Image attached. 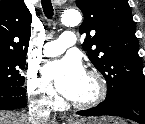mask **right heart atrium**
<instances>
[{
	"label": "right heart atrium",
	"mask_w": 145,
	"mask_h": 124,
	"mask_svg": "<svg viewBox=\"0 0 145 124\" xmlns=\"http://www.w3.org/2000/svg\"><path fill=\"white\" fill-rule=\"evenodd\" d=\"M27 93L36 106L44 109H54L58 104V96L37 72L31 70L27 74Z\"/></svg>",
	"instance_id": "1"
}]
</instances>
